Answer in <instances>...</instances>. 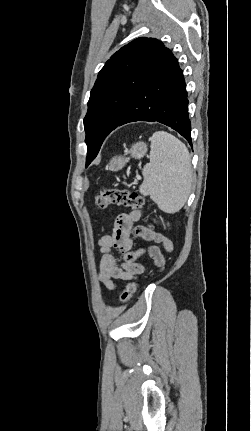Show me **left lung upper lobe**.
Masks as SVG:
<instances>
[{
    "label": "left lung upper lobe",
    "instance_id": "left-lung-upper-lobe-1",
    "mask_svg": "<svg viewBox=\"0 0 251 431\" xmlns=\"http://www.w3.org/2000/svg\"><path fill=\"white\" fill-rule=\"evenodd\" d=\"M164 47L155 38H137L113 54L99 72L84 118L86 167L97 156L106 132L125 115Z\"/></svg>",
    "mask_w": 251,
    "mask_h": 431
}]
</instances>
